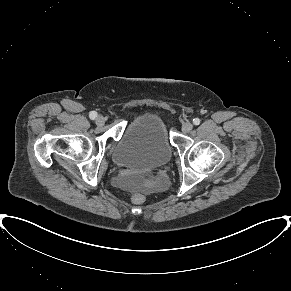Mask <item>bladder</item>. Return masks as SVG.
<instances>
[{"label":"bladder","instance_id":"obj_1","mask_svg":"<svg viewBox=\"0 0 291 291\" xmlns=\"http://www.w3.org/2000/svg\"><path fill=\"white\" fill-rule=\"evenodd\" d=\"M171 157L172 145L166 126L155 114H143L131 121L112 153L115 164L137 170L163 167Z\"/></svg>","mask_w":291,"mask_h":291}]
</instances>
